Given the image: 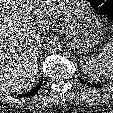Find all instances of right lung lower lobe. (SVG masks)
<instances>
[{
  "label": "right lung lower lobe",
  "instance_id": "1",
  "mask_svg": "<svg viewBox=\"0 0 113 113\" xmlns=\"http://www.w3.org/2000/svg\"><path fill=\"white\" fill-rule=\"evenodd\" d=\"M42 83H43V77H42V79L40 80V82L38 83V85H37L36 87H34L30 92H28L27 94H24V95H18V97H19V96L30 97V96L35 95V93H37L38 90L40 89Z\"/></svg>",
  "mask_w": 113,
  "mask_h": 113
}]
</instances>
